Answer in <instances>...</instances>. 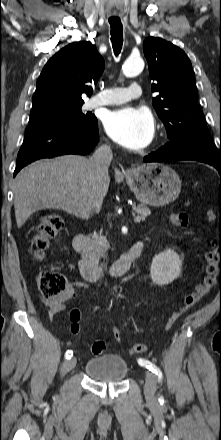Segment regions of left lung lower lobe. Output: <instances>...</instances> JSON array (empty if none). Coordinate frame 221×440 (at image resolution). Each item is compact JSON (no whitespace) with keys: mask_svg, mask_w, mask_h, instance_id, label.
I'll return each mask as SVG.
<instances>
[{"mask_svg":"<svg viewBox=\"0 0 221 440\" xmlns=\"http://www.w3.org/2000/svg\"><path fill=\"white\" fill-rule=\"evenodd\" d=\"M173 160H196L199 162H204L216 168L221 174V158L211 159L206 157L177 154L167 149L165 145L144 158V162H163Z\"/></svg>","mask_w":221,"mask_h":440,"instance_id":"left-lung-lower-lobe-1","label":"left lung lower lobe"}]
</instances>
